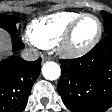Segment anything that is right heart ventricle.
<instances>
[{
	"mask_svg": "<svg viewBox=\"0 0 112 112\" xmlns=\"http://www.w3.org/2000/svg\"><path fill=\"white\" fill-rule=\"evenodd\" d=\"M81 12L58 11L33 20L28 26L29 40L41 48H51L57 45L60 38Z\"/></svg>",
	"mask_w": 112,
	"mask_h": 112,
	"instance_id": "e07e8e85",
	"label": "right heart ventricle"
}]
</instances>
